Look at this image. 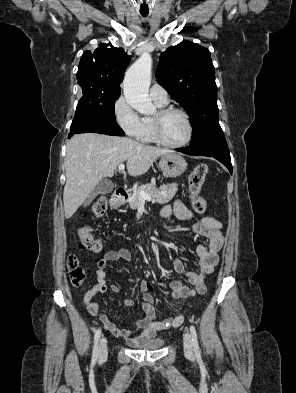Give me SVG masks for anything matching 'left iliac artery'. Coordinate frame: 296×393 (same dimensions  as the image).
I'll use <instances>...</instances> for the list:
<instances>
[{"label":"left iliac artery","mask_w":296,"mask_h":393,"mask_svg":"<svg viewBox=\"0 0 296 393\" xmlns=\"http://www.w3.org/2000/svg\"><path fill=\"white\" fill-rule=\"evenodd\" d=\"M190 332H191V335H192L194 352H195L196 355H199L200 354V349H199L196 329H195L194 326H190Z\"/></svg>","instance_id":"obj_1"}]
</instances>
